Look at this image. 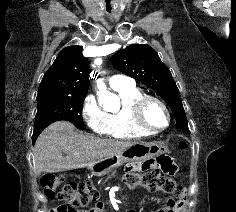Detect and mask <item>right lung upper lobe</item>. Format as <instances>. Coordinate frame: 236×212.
Returning a JSON list of instances; mask_svg holds the SVG:
<instances>
[{"label":"right lung upper lobe","mask_w":236,"mask_h":212,"mask_svg":"<svg viewBox=\"0 0 236 212\" xmlns=\"http://www.w3.org/2000/svg\"><path fill=\"white\" fill-rule=\"evenodd\" d=\"M82 50L81 46H68L61 50L44 74L37 98L87 95L89 66Z\"/></svg>","instance_id":"right-lung-upper-lobe-1"}]
</instances>
